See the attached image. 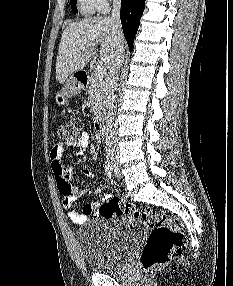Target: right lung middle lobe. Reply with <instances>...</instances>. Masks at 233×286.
Masks as SVG:
<instances>
[{"instance_id": "obj_1", "label": "right lung middle lobe", "mask_w": 233, "mask_h": 286, "mask_svg": "<svg viewBox=\"0 0 233 286\" xmlns=\"http://www.w3.org/2000/svg\"><path fill=\"white\" fill-rule=\"evenodd\" d=\"M71 8L72 11L76 14L77 13V8L74 0H70Z\"/></svg>"}]
</instances>
